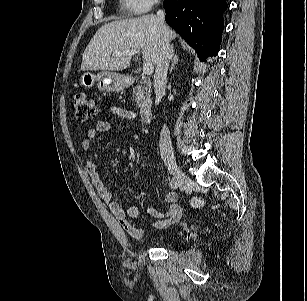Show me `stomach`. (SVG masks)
<instances>
[{
  "mask_svg": "<svg viewBox=\"0 0 307 301\" xmlns=\"http://www.w3.org/2000/svg\"><path fill=\"white\" fill-rule=\"evenodd\" d=\"M79 82L81 86L87 89L96 84L101 91L119 92L126 86L127 78L124 75L112 71H101L97 74L84 72Z\"/></svg>",
  "mask_w": 307,
  "mask_h": 301,
  "instance_id": "0dacf381",
  "label": "stomach"
}]
</instances>
